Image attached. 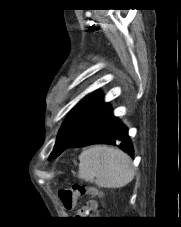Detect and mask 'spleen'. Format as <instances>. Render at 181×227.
Here are the masks:
<instances>
[{
	"label": "spleen",
	"mask_w": 181,
	"mask_h": 227,
	"mask_svg": "<svg viewBox=\"0 0 181 227\" xmlns=\"http://www.w3.org/2000/svg\"><path fill=\"white\" fill-rule=\"evenodd\" d=\"M79 160V177L101 188H122L134 178L131 158L119 149L92 146Z\"/></svg>",
	"instance_id": "obj_1"
}]
</instances>
